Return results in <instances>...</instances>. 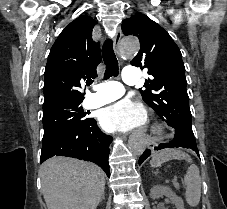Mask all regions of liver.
<instances>
[{
	"label": "liver",
	"mask_w": 227,
	"mask_h": 209,
	"mask_svg": "<svg viewBox=\"0 0 227 209\" xmlns=\"http://www.w3.org/2000/svg\"><path fill=\"white\" fill-rule=\"evenodd\" d=\"M40 177L48 209H96L104 195L105 173L92 163L52 157Z\"/></svg>",
	"instance_id": "obj_1"
}]
</instances>
